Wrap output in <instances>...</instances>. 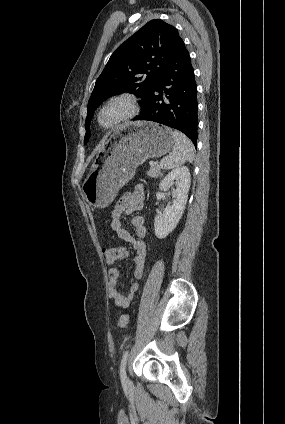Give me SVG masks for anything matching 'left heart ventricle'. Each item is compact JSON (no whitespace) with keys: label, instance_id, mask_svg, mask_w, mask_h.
<instances>
[{"label":"left heart ventricle","instance_id":"left-heart-ventricle-1","mask_svg":"<svg viewBox=\"0 0 285 424\" xmlns=\"http://www.w3.org/2000/svg\"><path fill=\"white\" fill-rule=\"evenodd\" d=\"M126 111L123 105H114L110 107L103 115V122L109 123L121 116Z\"/></svg>","mask_w":285,"mask_h":424}]
</instances>
